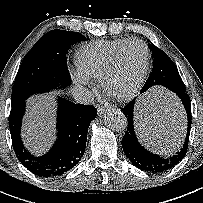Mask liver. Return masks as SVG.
Listing matches in <instances>:
<instances>
[{
  "mask_svg": "<svg viewBox=\"0 0 203 203\" xmlns=\"http://www.w3.org/2000/svg\"><path fill=\"white\" fill-rule=\"evenodd\" d=\"M28 114L24 123V139L29 149L42 154L52 140L53 107L49 99L37 97L28 101ZM165 109L156 108L153 101L151 107H140L137 115V128L144 141L159 151H166L182 141L185 119L179 103L170 101Z\"/></svg>",
  "mask_w": 203,
  "mask_h": 203,
  "instance_id": "1",
  "label": "liver"
}]
</instances>
